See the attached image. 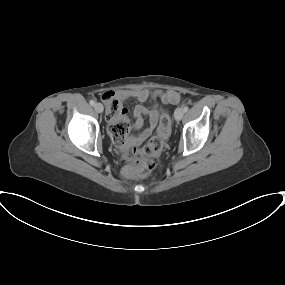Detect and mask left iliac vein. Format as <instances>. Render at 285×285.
Returning a JSON list of instances; mask_svg holds the SVG:
<instances>
[{
  "label": "left iliac vein",
  "instance_id": "1",
  "mask_svg": "<svg viewBox=\"0 0 285 285\" xmlns=\"http://www.w3.org/2000/svg\"><path fill=\"white\" fill-rule=\"evenodd\" d=\"M184 116V111L182 108H177L174 113V117L177 121H180Z\"/></svg>",
  "mask_w": 285,
  "mask_h": 285
}]
</instances>
